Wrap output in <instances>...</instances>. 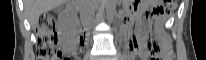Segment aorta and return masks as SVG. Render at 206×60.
<instances>
[{"mask_svg":"<svg viewBox=\"0 0 206 60\" xmlns=\"http://www.w3.org/2000/svg\"><path fill=\"white\" fill-rule=\"evenodd\" d=\"M106 15L109 23L114 20V15L116 13V2L117 0H106Z\"/></svg>","mask_w":206,"mask_h":60,"instance_id":"1","label":"aorta"}]
</instances>
